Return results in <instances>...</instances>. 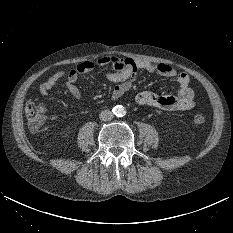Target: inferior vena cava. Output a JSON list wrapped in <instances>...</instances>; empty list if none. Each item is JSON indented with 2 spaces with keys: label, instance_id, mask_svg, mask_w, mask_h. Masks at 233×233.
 <instances>
[{
  "label": "inferior vena cava",
  "instance_id": "1",
  "mask_svg": "<svg viewBox=\"0 0 233 233\" xmlns=\"http://www.w3.org/2000/svg\"><path fill=\"white\" fill-rule=\"evenodd\" d=\"M113 113L110 110H103L99 117L102 121H109L113 119Z\"/></svg>",
  "mask_w": 233,
  "mask_h": 233
}]
</instances>
